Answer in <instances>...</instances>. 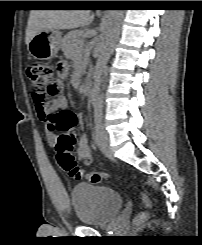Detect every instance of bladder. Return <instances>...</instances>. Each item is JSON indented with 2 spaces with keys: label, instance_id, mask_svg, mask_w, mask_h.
I'll list each match as a JSON object with an SVG mask.
<instances>
[{
  "label": "bladder",
  "instance_id": "obj_1",
  "mask_svg": "<svg viewBox=\"0 0 202 245\" xmlns=\"http://www.w3.org/2000/svg\"><path fill=\"white\" fill-rule=\"evenodd\" d=\"M71 201L81 224L100 226L112 219L123 207V197L115 190L96 184L73 187Z\"/></svg>",
  "mask_w": 202,
  "mask_h": 245
}]
</instances>
